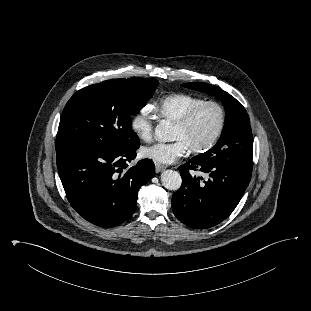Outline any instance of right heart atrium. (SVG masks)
Returning a JSON list of instances; mask_svg holds the SVG:
<instances>
[{"mask_svg": "<svg viewBox=\"0 0 311 311\" xmlns=\"http://www.w3.org/2000/svg\"><path fill=\"white\" fill-rule=\"evenodd\" d=\"M131 130L144 142H148L153 137L154 120L152 117V107L146 105L141 108L131 119Z\"/></svg>", "mask_w": 311, "mask_h": 311, "instance_id": "obj_1", "label": "right heart atrium"}]
</instances>
